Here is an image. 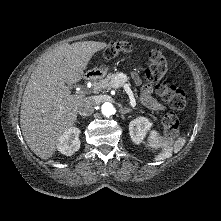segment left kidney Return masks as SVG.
<instances>
[{
    "mask_svg": "<svg viewBox=\"0 0 221 221\" xmlns=\"http://www.w3.org/2000/svg\"><path fill=\"white\" fill-rule=\"evenodd\" d=\"M152 123L145 117H138L129 124V134L135 144H140Z\"/></svg>",
    "mask_w": 221,
    "mask_h": 221,
    "instance_id": "1",
    "label": "left kidney"
}]
</instances>
